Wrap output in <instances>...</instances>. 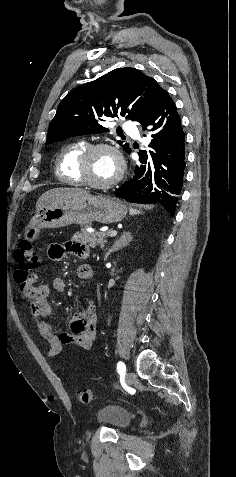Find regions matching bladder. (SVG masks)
I'll return each instance as SVG.
<instances>
[{
  "label": "bladder",
  "instance_id": "31cf9c89",
  "mask_svg": "<svg viewBox=\"0 0 236 477\" xmlns=\"http://www.w3.org/2000/svg\"><path fill=\"white\" fill-rule=\"evenodd\" d=\"M95 419L99 424L115 430H124L130 425L132 416L127 410L119 406L106 405L98 409Z\"/></svg>",
  "mask_w": 236,
  "mask_h": 477
}]
</instances>
